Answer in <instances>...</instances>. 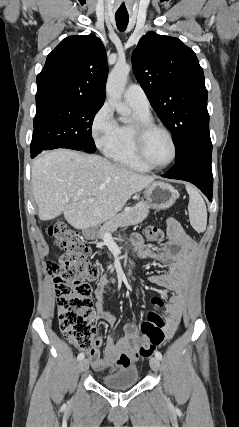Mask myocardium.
Segmentation results:
<instances>
[{"label":"myocardium","instance_id":"1","mask_svg":"<svg viewBox=\"0 0 239 427\" xmlns=\"http://www.w3.org/2000/svg\"><path fill=\"white\" fill-rule=\"evenodd\" d=\"M133 129V141H134V147H135V153L138 157V159L149 169L153 170H160L168 167L171 165L176 157H177V143L175 141V138L173 137L172 133L164 126L159 125L153 121L148 120H136L133 123L132 126ZM154 131H161L163 132L170 140L172 145V156L168 162L162 165H155L152 164L145 152L146 143L149 135Z\"/></svg>","mask_w":239,"mask_h":427}]
</instances>
